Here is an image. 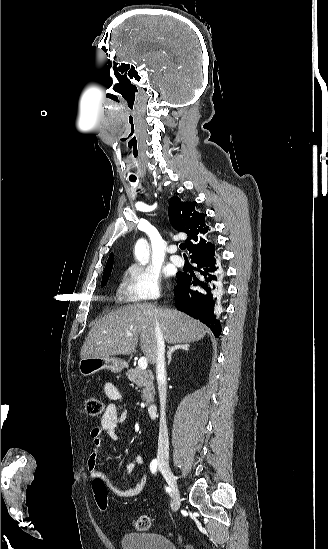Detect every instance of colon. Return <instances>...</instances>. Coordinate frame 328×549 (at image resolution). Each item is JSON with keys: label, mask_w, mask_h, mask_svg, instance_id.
<instances>
[{"label": "colon", "mask_w": 328, "mask_h": 549, "mask_svg": "<svg viewBox=\"0 0 328 549\" xmlns=\"http://www.w3.org/2000/svg\"><path fill=\"white\" fill-rule=\"evenodd\" d=\"M85 409L88 415L98 416L103 411V404L98 398L89 396L85 399ZM92 488L98 509L105 511L108 508V488L105 480L94 479ZM150 523L149 516L141 515L135 522V528L138 531H145L149 529Z\"/></svg>", "instance_id": "obj_1"}]
</instances>
